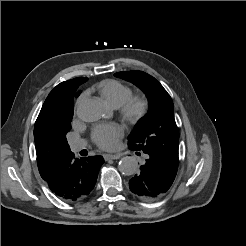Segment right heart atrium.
I'll list each match as a JSON object with an SVG mask.
<instances>
[{
  "label": "right heart atrium",
  "mask_w": 246,
  "mask_h": 246,
  "mask_svg": "<svg viewBox=\"0 0 246 246\" xmlns=\"http://www.w3.org/2000/svg\"><path fill=\"white\" fill-rule=\"evenodd\" d=\"M82 100V96L78 98L77 102H76V105H78Z\"/></svg>",
  "instance_id": "d8ad5b80"
}]
</instances>
